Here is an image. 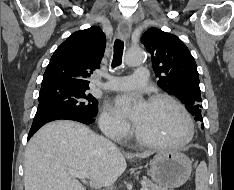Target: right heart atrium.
Wrapping results in <instances>:
<instances>
[{"instance_id": "obj_1", "label": "right heart atrium", "mask_w": 234, "mask_h": 190, "mask_svg": "<svg viewBox=\"0 0 234 190\" xmlns=\"http://www.w3.org/2000/svg\"><path fill=\"white\" fill-rule=\"evenodd\" d=\"M99 124L103 133L117 140L125 138L130 131V125L109 109L102 112Z\"/></svg>"}]
</instances>
